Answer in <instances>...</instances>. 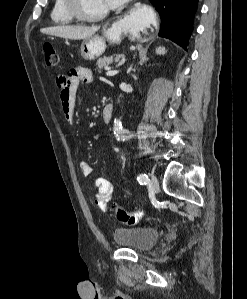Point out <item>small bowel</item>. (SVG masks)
Returning <instances> with one entry per match:
<instances>
[{
  "mask_svg": "<svg viewBox=\"0 0 247 299\" xmlns=\"http://www.w3.org/2000/svg\"><path fill=\"white\" fill-rule=\"evenodd\" d=\"M93 80L92 72L87 69H72L66 76L57 78L56 82L60 89L62 111L69 124H74L76 96L79 85L81 83H91ZM79 169L84 177H88L92 172V168L87 161H81ZM92 186L97 189L95 195L96 206L100 210L105 211L114 195V183L107 178L100 177L93 182Z\"/></svg>",
  "mask_w": 247,
  "mask_h": 299,
  "instance_id": "c3829d8e",
  "label": "small bowel"
}]
</instances>
